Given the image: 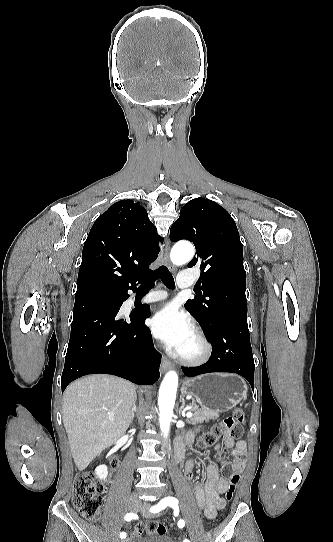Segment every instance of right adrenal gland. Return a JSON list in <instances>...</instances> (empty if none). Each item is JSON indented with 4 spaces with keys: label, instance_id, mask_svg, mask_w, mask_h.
Listing matches in <instances>:
<instances>
[{
    "label": "right adrenal gland",
    "instance_id": "1",
    "mask_svg": "<svg viewBox=\"0 0 333 542\" xmlns=\"http://www.w3.org/2000/svg\"><path fill=\"white\" fill-rule=\"evenodd\" d=\"M135 412H136V400H135V402H134V404H133V410H132V412H131V422H133V418H134V416H135Z\"/></svg>",
    "mask_w": 333,
    "mask_h": 542
}]
</instances>
